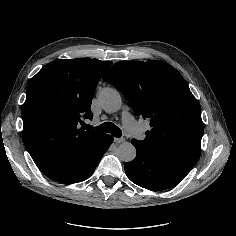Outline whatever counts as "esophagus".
Wrapping results in <instances>:
<instances>
[{"label":"esophagus","instance_id":"1","mask_svg":"<svg viewBox=\"0 0 236 236\" xmlns=\"http://www.w3.org/2000/svg\"><path fill=\"white\" fill-rule=\"evenodd\" d=\"M124 141H125L124 138H114L115 143H122Z\"/></svg>","mask_w":236,"mask_h":236}]
</instances>
